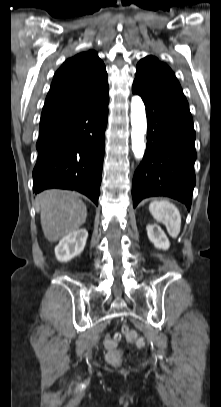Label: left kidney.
I'll return each mask as SVG.
<instances>
[{"label":"left kidney","mask_w":221,"mask_h":407,"mask_svg":"<svg viewBox=\"0 0 221 407\" xmlns=\"http://www.w3.org/2000/svg\"><path fill=\"white\" fill-rule=\"evenodd\" d=\"M146 229L149 240L156 248L163 250H167L169 248L170 242L160 226L157 224H148Z\"/></svg>","instance_id":"5707ae66"}]
</instances>
